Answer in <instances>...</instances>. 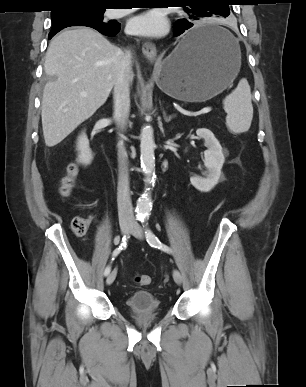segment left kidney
<instances>
[{
	"label": "left kidney",
	"mask_w": 306,
	"mask_h": 387,
	"mask_svg": "<svg viewBox=\"0 0 306 387\" xmlns=\"http://www.w3.org/2000/svg\"><path fill=\"white\" fill-rule=\"evenodd\" d=\"M196 134L204 139L207 147L204 151V166L207 171L206 177L192 176L190 182L199 191L208 192L218 183L225 158L219 141L209 129H197Z\"/></svg>",
	"instance_id": "obj_1"
}]
</instances>
